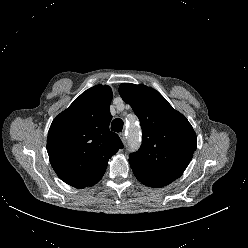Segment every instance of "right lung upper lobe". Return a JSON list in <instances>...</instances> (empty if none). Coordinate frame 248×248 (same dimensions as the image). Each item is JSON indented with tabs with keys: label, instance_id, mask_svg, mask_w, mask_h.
<instances>
[{
	"label": "right lung upper lobe",
	"instance_id": "1",
	"mask_svg": "<svg viewBox=\"0 0 248 248\" xmlns=\"http://www.w3.org/2000/svg\"><path fill=\"white\" fill-rule=\"evenodd\" d=\"M109 86L97 85L83 92L52 122L47 137L50 163L65 183L85 188L104 175L108 160L123 144L109 130L112 119Z\"/></svg>",
	"mask_w": 248,
	"mask_h": 248
}]
</instances>
